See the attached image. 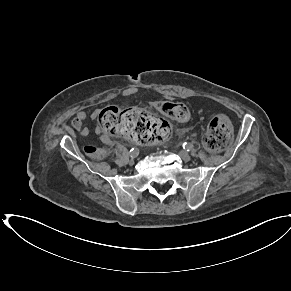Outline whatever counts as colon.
<instances>
[{
    "label": "colon",
    "mask_w": 291,
    "mask_h": 291,
    "mask_svg": "<svg viewBox=\"0 0 291 291\" xmlns=\"http://www.w3.org/2000/svg\"><path fill=\"white\" fill-rule=\"evenodd\" d=\"M157 108L164 116L185 122L191 117L188 108L179 102L160 101ZM100 129L116 136H122L142 144H150L162 139L169 130L168 122L140 108L120 109L108 106L98 115ZM233 127L230 119L223 114H218L209 123L204 136L206 148L212 152L225 149L231 142ZM87 155L101 158L104 150L96 146L84 148Z\"/></svg>",
    "instance_id": "1"
}]
</instances>
